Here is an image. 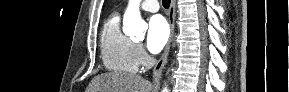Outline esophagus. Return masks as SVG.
Instances as JSON below:
<instances>
[{
	"instance_id": "esophagus-1",
	"label": "esophagus",
	"mask_w": 289,
	"mask_h": 92,
	"mask_svg": "<svg viewBox=\"0 0 289 92\" xmlns=\"http://www.w3.org/2000/svg\"><path fill=\"white\" fill-rule=\"evenodd\" d=\"M175 10H176V0H171L169 12H168V20L170 24V37L165 46L162 56L158 60L153 70V84L155 87H158L160 84L162 70L167 62L170 46L173 41L174 30H175V15H176Z\"/></svg>"
}]
</instances>
